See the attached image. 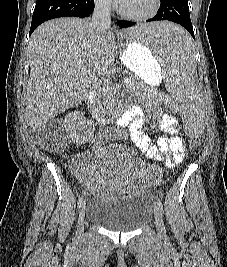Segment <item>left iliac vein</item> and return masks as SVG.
Instances as JSON below:
<instances>
[{
  "label": "left iliac vein",
  "mask_w": 227,
  "mask_h": 267,
  "mask_svg": "<svg viewBox=\"0 0 227 267\" xmlns=\"http://www.w3.org/2000/svg\"><path fill=\"white\" fill-rule=\"evenodd\" d=\"M154 217H155V222H156L157 233L160 237H164L166 235L164 221H163L161 210L157 206L154 208Z\"/></svg>",
  "instance_id": "4c4485c4"
}]
</instances>
